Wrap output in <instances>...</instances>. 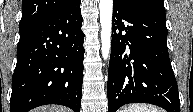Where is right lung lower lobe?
<instances>
[{"label": "right lung lower lobe", "mask_w": 193, "mask_h": 112, "mask_svg": "<svg viewBox=\"0 0 193 112\" xmlns=\"http://www.w3.org/2000/svg\"><path fill=\"white\" fill-rule=\"evenodd\" d=\"M80 0L19 29L10 112L59 104L80 112L84 33Z\"/></svg>", "instance_id": "right-lung-lower-lobe-1"}]
</instances>
